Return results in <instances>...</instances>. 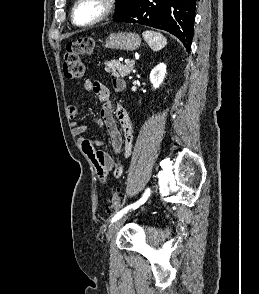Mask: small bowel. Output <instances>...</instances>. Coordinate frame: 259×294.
Here are the masks:
<instances>
[{
	"label": "small bowel",
	"mask_w": 259,
	"mask_h": 294,
	"mask_svg": "<svg viewBox=\"0 0 259 294\" xmlns=\"http://www.w3.org/2000/svg\"><path fill=\"white\" fill-rule=\"evenodd\" d=\"M112 85L116 92H121L125 88V82L119 78H115ZM84 88L87 92L96 94L100 100V116L94 119V122L107 130L114 154H121L128 158L131 155L133 146V131L128 113L121 106L111 104L109 100L110 91L104 84L86 79ZM77 114L78 107L70 105L68 107V116L72 120V135L79 139L81 149L92 162L99 179L104 181L109 172H112L116 178L121 177L123 174L121 162L109 153L95 148L102 145V142H92L83 136L88 127L84 124H79L75 120Z\"/></svg>",
	"instance_id": "obj_1"
}]
</instances>
